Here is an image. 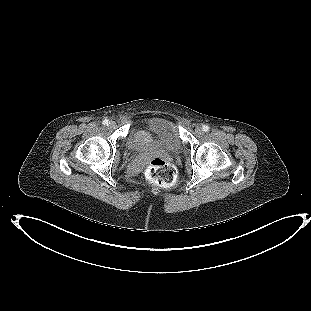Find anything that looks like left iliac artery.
<instances>
[{"label": "left iliac artery", "instance_id": "44dca946", "mask_svg": "<svg viewBox=\"0 0 311 311\" xmlns=\"http://www.w3.org/2000/svg\"><path fill=\"white\" fill-rule=\"evenodd\" d=\"M209 129H210V127H209L208 125H204V126H203V131H204V132H208Z\"/></svg>", "mask_w": 311, "mask_h": 311}]
</instances>
